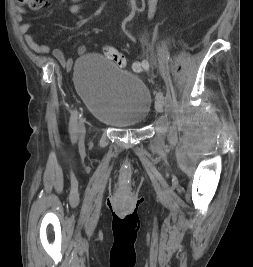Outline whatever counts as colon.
Wrapping results in <instances>:
<instances>
[{
  "label": "colon",
  "instance_id": "5ec220e1",
  "mask_svg": "<svg viewBox=\"0 0 253 267\" xmlns=\"http://www.w3.org/2000/svg\"><path fill=\"white\" fill-rule=\"evenodd\" d=\"M48 1L49 0H16L18 5L26 6L31 9H40L44 7ZM103 50L105 56L112 60L117 66L121 68L126 66V58L117 49L111 46H105ZM132 69L137 73L145 72L148 69V63L146 61L135 62L132 65Z\"/></svg>",
  "mask_w": 253,
  "mask_h": 267
}]
</instances>
